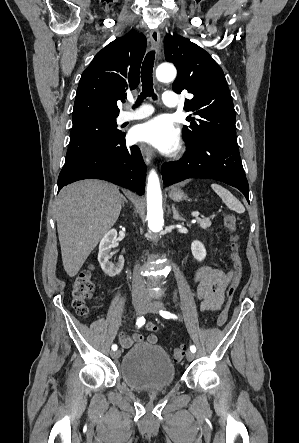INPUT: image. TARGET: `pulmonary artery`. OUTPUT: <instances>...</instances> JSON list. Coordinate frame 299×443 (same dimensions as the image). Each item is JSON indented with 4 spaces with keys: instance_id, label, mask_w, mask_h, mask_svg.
<instances>
[{
    "instance_id": "obj_1",
    "label": "pulmonary artery",
    "mask_w": 299,
    "mask_h": 443,
    "mask_svg": "<svg viewBox=\"0 0 299 443\" xmlns=\"http://www.w3.org/2000/svg\"><path fill=\"white\" fill-rule=\"evenodd\" d=\"M163 103L167 107H177L179 104V98L174 92L165 91L162 96ZM152 113V108L148 106L141 105L136 111L128 112L124 111L122 112L118 119L119 122H127L132 120H138L147 117Z\"/></svg>"
}]
</instances>
